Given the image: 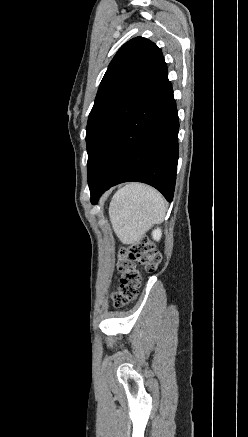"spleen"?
<instances>
[{
  "label": "spleen",
  "instance_id": "1",
  "mask_svg": "<svg viewBox=\"0 0 248 437\" xmlns=\"http://www.w3.org/2000/svg\"><path fill=\"white\" fill-rule=\"evenodd\" d=\"M165 213L163 196L141 183H130L118 190L109 208L113 230L125 244L141 239L152 225L163 220Z\"/></svg>",
  "mask_w": 248,
  "mask_h": 437
}]
</instances>
